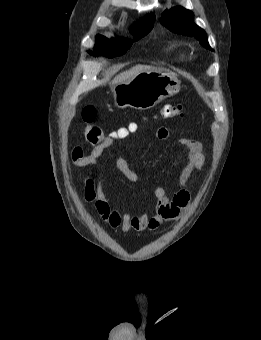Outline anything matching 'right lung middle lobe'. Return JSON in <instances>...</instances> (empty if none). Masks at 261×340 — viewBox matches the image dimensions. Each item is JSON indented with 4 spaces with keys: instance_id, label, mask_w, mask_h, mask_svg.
<instances>
[{
    "instance_id": "right-lung-middle-lobe-1",
    "label": "right lung middle lobe",
    "mask_w": 261,
    "mask_h": 340,
    "mask_svg": "<svg viewBox=\"0 0 261 340\" xmlns=\"http://www.w3.org/2000/svg\"><path fill=\"white\" fill-rule=\"evenodd\" d=\"M154 22L135 24L131 32L134 36L133 41L139 40L141 37L147 35L153 28ZM132 40H126L123 38H116L109 40L102 35L96 36V50L99 53L108 55L109 57L118 56L124 54L127 49L132 45Z\"/></svg>"
}]
</instances>
